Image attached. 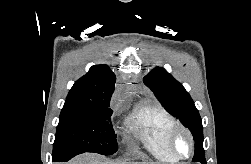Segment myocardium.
<instances>
[{
    "label": "myocardium",
    "instance_id": "obj_1",
    "mask_svg": "<svg viewBox=\"0 0 251 164\" xmlns=\"http://www.w3.org/2000/svg\"><path fill=\"white\" fill-rule=\"evenodd\" d=\"M180 136H184L189 143L188 153L185 155L179 154L175 149V143ZM194 139L190 130L180 123H176L168 132L166 138V148L168 153L176 160H186L194 153Z\"/></svg>",
    "mask_w": 251,
    "mask_h": 164
}]
</instances>
